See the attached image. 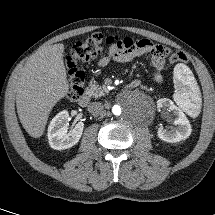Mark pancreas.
Listing matches in <instances>:
<instances>
[{"mask_svg":"<svg viewBox=\"0 0 215 215\" xmlns=\"http://www.w3.org/2000/svg\"><path fill=\"white\" fill-rule=\"evenodd\" d=\"M86 92L89 96H92L94 98H99L101 96H105L109 91L91 82L89 84V87L86 89Z\"/></svg>","mask_w":215,"mask_h":215,"instance_id":"pancreas-1","label":"pancreas"}]
</instances>
